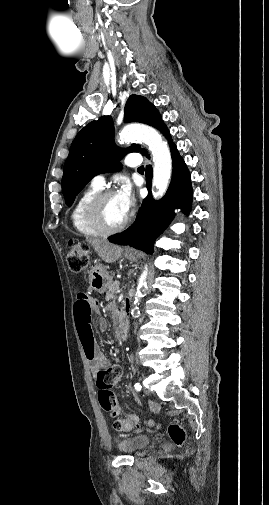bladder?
I'll return each mask as SVG.
<instances>
[{
    "label": "bladder",
    "mask_w": 269,
    "mask_h": 505,
    "mask_svg": "<svg viewBox=\"0 0 269 505\" xmlns=\"http://www.w3.org/2000/svg\"><path fill=\"white\" fill-rule=\"evenodd\" d=\"M151 441V438L146 435H138L121 441L118 448L125 454H137L145 450Z\"/></svg>",
    "instance_id": "obj_1"
}]
</instances>
